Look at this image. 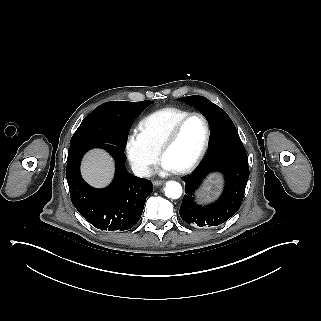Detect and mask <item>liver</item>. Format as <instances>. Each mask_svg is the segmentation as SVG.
<instances>
[{
	"instance_id": "6515ba94",
	"label": "liver",
	"mask_w": 321,
	"mask_h": 321,
	"mask_svg": "<svg viewBox=\"0 0 321 321\" xmlns=\"http://www.w3.org/2000/svg\"><path fill=\"white\" fill-rule=\"evenodd\" d=\"M81 173L90 185L97 188L104 187L113 178L114 162L105 151L94 149L84 156Z\"/></svg>"
}]
</instances>
